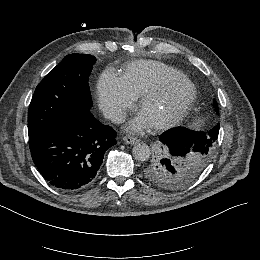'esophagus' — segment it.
<instances>
[{"label":"esophagus","instance_id":"obj_1","mask_svg":"<svg viewBox=\"0 0 260 260\" xmlns=\"http://www.w3.org/2000/svg\"><path fill=\"white\" fill-rule=\"evenodd\" d=\"M123 141L126 144H135V143L139 142V140L134 136H124Z\"/></svg>","mask_w":260,"mask_h":260}]
</instances>
